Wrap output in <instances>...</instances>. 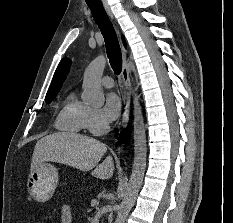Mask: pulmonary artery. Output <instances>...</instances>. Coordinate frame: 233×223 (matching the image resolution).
<instances>
[{"mask_svg": "<svg viewBox=\"0 0 233 223\" xmlns=\"http://www.w3.org/2000/svg\"><path fill=\"white\" fill-rule=\"evenodd\" d=\"M102 83L106 88H110L113 85V79L111 77H109V76H105L102 79Z\"/></svg>", "mask_w": 233, "mask_h": 223, "instance_id": "obj_1", "label": "pulmonary artery"}]
</instances>
